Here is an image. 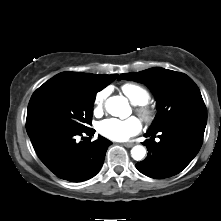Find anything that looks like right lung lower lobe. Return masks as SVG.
I'll return each instance as SVG.
<instances>
[{
  "label": "right lung lower lobe",
  "instance_id": "98d812e1",
  "mask_svg": "<svg viewBox=\"0 0 221 221\" xmlns=\"http://www.w3.org/2000/svg\"><path fill=\"white\" fill-rule=\"evenodd\" d=\"M93 129L76 132L55 126H38L27 130L40 160L57 177L71 182H82L95 176L101 169L107 148L112 144L98 136L90 142H76V136L90 134Z\"/></svg>",
  "mask_w": 221,
  "mask_h": 221
}]
</instances>
